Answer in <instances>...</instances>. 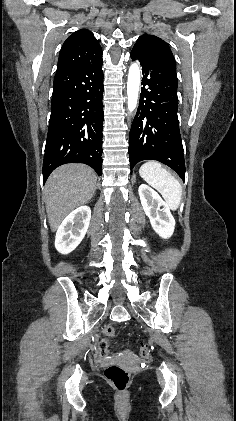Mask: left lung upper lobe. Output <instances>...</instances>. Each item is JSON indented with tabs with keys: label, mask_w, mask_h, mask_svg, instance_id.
Segmentation results:
<instances>
[{
	"label": "left lung upper lobe",
	"mask_w": 236,
	"mask_h": 421,
	"mask_svg": "<svg viewBox=\"0 0 236 421\" xmlns=\"http://www.w3.org/2000/svg\"><path fill=\"white\" fill-rule=\"evenodd\" d=\"M134 46H137L143 50H155L163 52L175 61L168 44L157 36L144 34L137 39Z\"/></svg>",
	"instance_id": "left-lung-upper-lobe-1"
}]
</instances>
